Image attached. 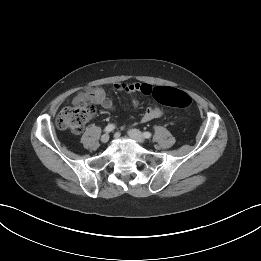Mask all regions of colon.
Segmentation results:
<instances>
[{
	"mask_svg": "<svg viewBox=\"0 0 261 261\" xmlns=\"http://www.w3.org/2000/svg\"><path fill=\"white\" fill-rule=\"evenodd\" d=\"M154 99L166 106L185 109L191 103V97L176 88L158 87L152 91ZM96 109L92 102H83L62 109L56 117V125L59 129L72 133H80L84 125L95 115Z\"/></svg>",
	"mask_w": 261,
	"mask_h": 261,
	"instance_id": "1",
	"label": "colon"
}]
</instances>
